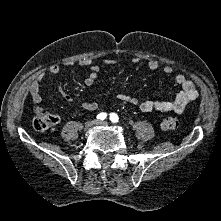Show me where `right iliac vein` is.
Listing matches in <instances>:
<instances>
[{"label":"right iliac vein","instance_id":"63e3f726","mask_svg":"<svg viewBox=\"0 0 221 221\" xmlns=\"http://www.w3.org/2000/svg\"><path fill=\"white\" fill-rule=\"evenodd\" d=\"M97 120H89L87 122H85V128L89 129L90 127H92L94 124H96Z\"/></svg>","mask_w":221,"mask_h":221}]
</instances>
